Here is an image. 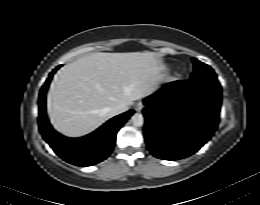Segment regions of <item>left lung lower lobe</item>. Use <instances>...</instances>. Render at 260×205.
I'll return each instance as SVG.
<instances>
[{
    "label": "left lung lower lobe",
    "mask_w": 260,
    "mask_h": 205,
    "mask_svg": "<svg viewBox=\"0 0 260 205\" xmlns=\"http://www.w3.org/2000/svg\"><path fill=\"white\" fill-rule=\"evenodd\" d=\"M144 104L148 149L159 159L178 160L199 150L216 130L221 86L177 81L146 98Z\"/></svg>",
    "instance_id": "obj_1"
}]
</instances>
